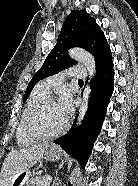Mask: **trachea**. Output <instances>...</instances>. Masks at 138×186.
Masks as SVG:
<instances>
[{
	"instance_id": "3493384b",
	"label": "trachea",
	"mask_w": 138,
	"mask_h": 186,
	"mask_svg": "<svg viewBox=\"0 0 138 186\" xmlns=\"http://www.w3.org/2000/svg\"><path fill=\"white\" fill-rule=\"evenodd\" d=\"M78 82H79V83H83V80L79 79Z\"/></svg>"
}]
</instances>
